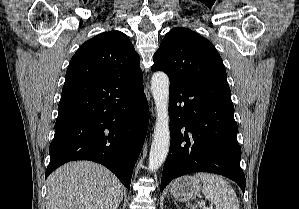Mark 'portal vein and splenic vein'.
Returning <instances> with one entry per match:
<instances>
[{
	"instance_id": "portal-vein-and-splenic-vein-1",
	"label": "portal vein and splenic vein",
	"mask_w": 299,
	"mask_h": 209,
	"mask_svg": "<svg viewBox=\"0 0 299 209\" xmlns=\"http://www.w3.org/2000/svg\"><path fill=\"white\" fill-rule=\"evenodd\" d=\"M200 205L203 206V207H205V202H201ZM206 209H213V206H209V208H206Z\"/></svg>"
}]
</instances>
